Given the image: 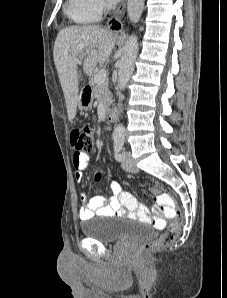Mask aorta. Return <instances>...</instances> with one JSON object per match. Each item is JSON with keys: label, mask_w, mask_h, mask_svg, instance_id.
Listing matches in <instances>:
<instances>
[{"label": "aorta", "mask_w": 227, "mask_h": 298, "mask_svg": "<svg viewBox=\"0 0 227 298\" xmlns=\"http://www.w3.org/2000/svg\"><path fill=\"white\" fill-rule=\"evenodd\" d=\"M145 0H128L127 12L130 21L133 24L139 22L144 9ZM138 39L132 34L124 46L123 55L118 63V88L122 91L126 89L127 83L133 73L135 60L138 54ZM125 137V128L118 125L114 128L113 139L123 140Z\"/></svg>", "instance_id": "1"}]
</instances>
